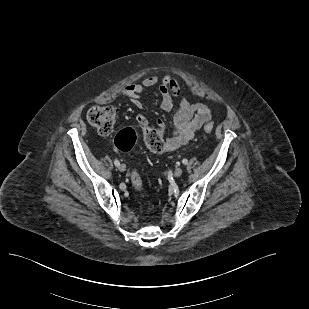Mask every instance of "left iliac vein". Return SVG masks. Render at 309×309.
Masks as SVG:
<instances>
[{"mask_svg":"<svg viewBox=\"0 0 309 309\" xmlns=\"http://www.w3.org/2000/svg\"><path fill=\"white\" fill-rule=\"evenodd\" d=\"M182 173H183V170H182V168H176L175 170H174V176L177 178V177H180L181 175H182Z\"/></svg>","mask_w":309,"mask_h":309,"instance_id":"4c4485c4","label":"left iliac vein"}]
</instances>
